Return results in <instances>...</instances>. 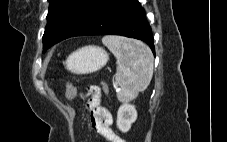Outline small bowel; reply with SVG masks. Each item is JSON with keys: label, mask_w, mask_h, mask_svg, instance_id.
<instances>
[{"label": "small bowel", "mask_w": 227, "mask_h": 142, "mask_svg": "<svg viewBox=\"0 0 227 142\" xmlns=\"http://www.w3.org/2000/svg\"><path fill=\"white\" fill-rule=\"evenodd\" d=\"M80 97L89 96L87 110L91 127L108 142H126L117 135L112 129L113 117L111 113L100 105L101 89L96 85L86 87L85 92Z\"/></svg>", "instance_id": "c3829d8e"}]
</instances>
